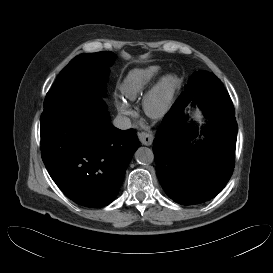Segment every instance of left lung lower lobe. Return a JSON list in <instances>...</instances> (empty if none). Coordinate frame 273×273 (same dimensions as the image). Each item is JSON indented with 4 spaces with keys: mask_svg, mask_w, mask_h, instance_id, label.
<instances>
[{
    "mask_svg": "<svg viewBox=\"0 0 273 273\" xmlns=\"http://www.w3.org/2000/svg\"><path fill=\"white\" fill-rule=\"evenodd\" d=\"M203 80L193 94L176 100L153 141L158 180L168 197L181 205L214 198L234 169L237 123L231 98L215 75ZM191 101L208 119L205 138L195 144L184 114Z\"/></svg>",
    "mask_w": 273,
    "mask_h": 273,
    "instance_id": "0a47b994",
    "label": "left lung lower lobe"
}]
</instances>
